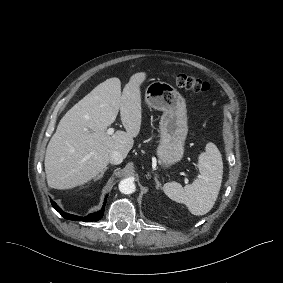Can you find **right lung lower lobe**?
<instances>
[{"label": "right lung lower lobe", "instance_id": "98d812e1", "mask_svg": "<svg viewBox=\"0 0 283 283\" xmlns=\"http://www.w3.org/2000/svg\"><path fill=\"white\" fill-rule=\"evenodd\" d=\"M52 206L65 218V219H69V220H79V221H97L99 219H101L103 217L104 214V209H105V204H106V199L104 201V204L102 206V209L99 212L96 213H92L86 217H79V216H75V215H71L68 213L63 212L58 205L51 200Z\"/></svg>", "mask_w": 283, "mask_h": 283}]
</instances>
